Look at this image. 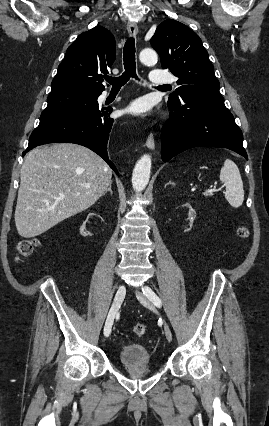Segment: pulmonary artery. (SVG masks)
<instances>
[{"instance_id":"1","label":"pulmonary artery","mask_w":269,"mask_h":426,"mask_svg":"<svg viewBox=\"0 0 269 426\" xmlns=\"http://www.w3.org/2000/svg\"><path fill=\"white\" fill-rule=\"evenodd\" d=\"M149 78L153 83L161 86H168L175 81V78L172 74L166 73L162 69L151 70Z\"/></svg>"}]
</instances>
